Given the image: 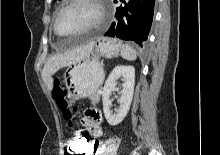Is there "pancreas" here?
I'll return each instance as SVG.
<instances>
[{"label": "pancreas", "instance_id": "1", "mask_svg": "<svg viewBox=\"0 0 220 155\" xmlns=\"http://www.w3.org/2000/svg\"><path fill=\"white\" fill-rule=\"evenodd\" d=\"M90 100H91V103L92 105H96L99 100H100V95L98 92H96L95 94H93L92 96H90Z\"/></svg>", "mask_w": 220, "mask_h": 155}]
</instances>
